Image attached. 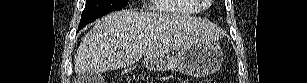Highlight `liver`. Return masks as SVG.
I'll return each instance as SVG.
<instances>
[{"instance_id": "6515ba94", "label": "liver", "mask_w": 307, "mask_h": 83, "mask_svg": "<svg viewBox=\"0 0 307 83\" xmlns=\"http://www.w3.org/2000/svg\"><path fill=\"white\" fill-rule=\"evenodd\" d=\"M220 35L217 26L197 18L113 12L97 20L83 37L75 55L74 71L85 75L116 70L142 57L211 42Z\"/></svg>"}]
</instances>
